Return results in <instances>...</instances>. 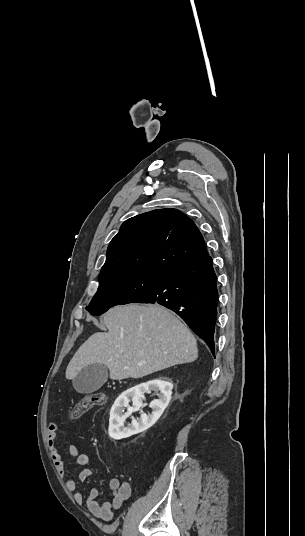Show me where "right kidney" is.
I'll return each mask as SVG.
<instances>
[{
  "label": "right kidney",
  "instance_id": "obj_1",
  "mask_svg": "<svg viewBox=\"0 0 305 536\" xmlns=\"http://www.w3.org/2000/svg\"><path fill=\"white\" fill-rule=\"evenodd\" d=\"M149 390L160 392L158 396L159 400H153L150 404L152 414H149V416L141 414L139 422L132 420V424H128L127 428H125L126 418L131 416L132 412H137L141 408L142 398H144L143 394L149 392ZM172 390L173 384L169 382L168 378H157V380H150V382H145V384L134 386V388L127 390L125 394H121L111 408L108 428L110 438L122 440V438H130L134 434H139V432H144V430L151 428L159 420L160 416H162L165 408H167L171 400ZM128 398H133V402L137 400L138 404L136 402L135 406L130 408ZM123 406L124 408H128L126 414H123Z\"/></svg>",
  "mask_w": 305,
  "mask_h": 536
}]
</instances>
